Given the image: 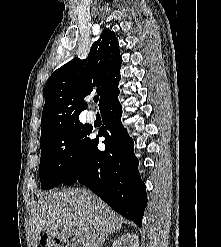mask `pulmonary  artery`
<instances>
[{"label":"pulmonary artery","instance_id":"1","mask_svg":"<svg viewBox=\"0 0 221 247\" xmlns=\"http://www.w3.org/2000/svg\"><path fill=\"white\" fill-rule=\"evenodd\" d=\"M87 119H88L89 122H93L94 119H95V114H94V112L89 111V112L87 113Z\"/></svg>","mask_w":221,"mask_h":247}]
</instances>
